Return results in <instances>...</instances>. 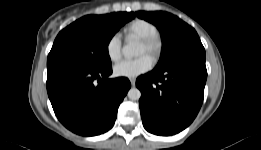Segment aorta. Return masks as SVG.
Segmentation results:
<instances>
[{
	"instance_id": "762f6f07",
	"label": "aorta",
	"mask_w": 261,
	"mask_h": 150,
	"mask_svg": "<svg viewBox=\"0 0 261 150\" xmlns=\"http://www.w3.org/2000/svg\"><path fill=\"white\" fill-rule=\"evenodd\" d=\"M123 55L127 58L136 57L142 54L143 48L138 43L130 42L124 45L122 49ZM128 98L130 100H139L141 97V92L137 88H131L128 91Z\"/></svg>"
}]
</instances>
